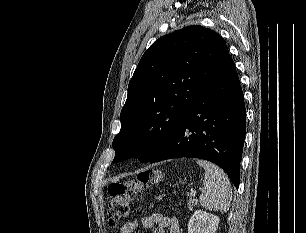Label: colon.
Masks as SVG:
<instances>
[{
    "mask_svg": "<svg viewBox=\"0 0 306 233\" xmlns=\"http://www.w3.org/2000/svg\"><path fill=\"white\" fill-rule=\"evenodd\" d=\"M162 173L158 170H148L138 174L135 179L124 182H113L108 187V223L115 227L129 215L130 204L138 192L145 187L158 184Z\"/></svg>",
    "mask_w": 306,
    "mask_h": 233,
    "instance_id": "obj_1",
    "label": "colon"
}]
</instances>
